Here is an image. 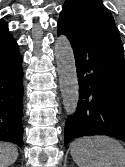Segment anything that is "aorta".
Listing matches in <instances>:
<instances>
[{"mask_svg":"<svg viewBox=\"0 0 125 167\" xmlns=\"http://www.w3.org/2000/svg\"><path fill=\"white\" fill-rule=\"evenodd\" d=\"M55 58L64 108L68 115H73L79 100V85L74 53L63 35L56 38Z\"/></svg>","mask_w":125,"mask_h":167,"instance_id":"762f6f07","label":"aorta"}]
</instances>
